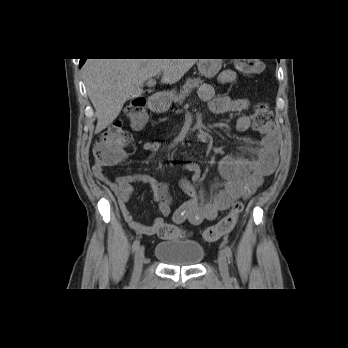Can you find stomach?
<instances>
[{"label":"stomach","mask_w":348,"mask_h":348,"mask_svg":"<svg viewBox=\"0 0 348 348\" xmlns=\"http://www.w3.org/2000/svg\"><path fill=\"white\" fill-rule=\"evenodd\" d=\"M221 66V59H199V62L197 63L199 73L201 74V76H204L206 78H213L220 71ZM173 99L174 94L172 92L164 93L161 98L155 103L157 109H169Z\"/></svg>","instance_id":"obj_1"}]
</instances>
